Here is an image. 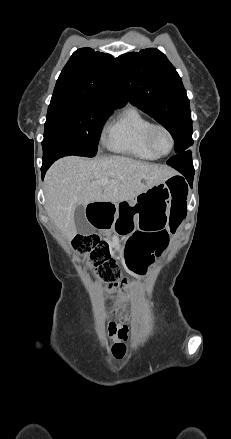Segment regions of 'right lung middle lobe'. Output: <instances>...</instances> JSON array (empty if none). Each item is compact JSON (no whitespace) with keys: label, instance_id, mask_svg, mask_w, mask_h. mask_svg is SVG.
I'll return each instance as SVG.
<instances>
[{"label":"right lung middle lobe","instance_id":"dd1d6c3e","mask_svg":"<svg viewBox=\"0 0 231 439\" xmlns=\"http://www.w3.org/2000/svg\"><path fill=\"white\" fill-rule=\"evenodd\" d=\"M114 109L93 104L48 107L43 161L67 155L94 157L101 129Z\"/></svg>","mask_w":231,"mask_h":439}]
</instances>
